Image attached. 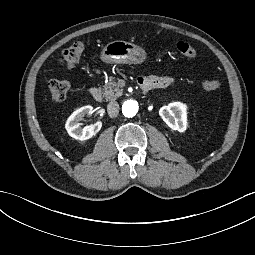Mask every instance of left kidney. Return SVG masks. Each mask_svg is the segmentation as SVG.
<instances>
[{
  "label": "left kidney",
  "mask_w": 255,
  "mask_h": 255,
  "mask_svg": "<svg viewBox=\"0 0 255 255\" xmlns=\"http://www.w3.org/2000/svg\"><path fill=\"white\" fill-rule=\"evenodd\" d=\"M159 115L171 129L179 132L186 130V109L181 103H171L162 107Z\"/></svg>",
  "instance_id": "obj_1"
}]
</instances>
